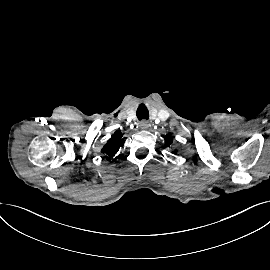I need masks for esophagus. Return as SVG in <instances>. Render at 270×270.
I'll return each mask as SVG.
<instances>
[{"instance_id": "1", "label": "esophagus", "mask_w": 270, "mask_h": 270, "mask_svg": "<svg viewBox=\"0 0 270 270\" xmlns=\"http://www.w3.org/2000/svg\"><path fill=\"white\" fill-rule=\"evenodd\" d=\"M140 126H141L142 129H147L150 126V124H149L148 121L143 120V121L140 122Z\"/></svg>"}]
</instances>
